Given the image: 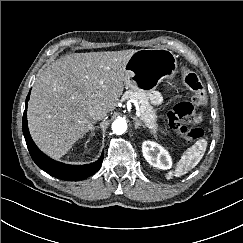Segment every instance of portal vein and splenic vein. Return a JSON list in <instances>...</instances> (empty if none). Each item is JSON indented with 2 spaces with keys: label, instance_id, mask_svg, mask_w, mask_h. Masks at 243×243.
<instances>
[{
  "label": "portal vein and splenic vein",
  "instance_id": "1",
  "mask_svg": "<svg viewBox=\"0 0 243 243\" xmlns=\"http://www.w3.org/2000/svg\"><path fill=\"white\" fill-rule=\"evenodd\" d=\"M136 115H137V117L141 116V112H140V108L139 107L136 108Z\"/></svg>",
  "mask_w": 243,
  "mask_h": 243
}]
</instances>
